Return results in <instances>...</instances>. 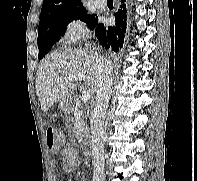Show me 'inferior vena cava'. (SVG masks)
Here are the masks:
<instances>
[{
    "label": "inferior vena cava",
    "instance_id": "inferior-vena-cava-1",
    "mask_svg": "<svg viewBox=\"0 0 197 181\" xmlns=\"http://www.w3.org/2000/svg\"><path fill=\"white\" fill-rule=\"evenodd\" d=\"M97 55V53H95ZM99 81L96 102L90 125L92 133L93 181H104V120L112 94L113 74L111 63L98 57Z\"/></svg>",
    "mask_w": 197,
    "mask_h": 181
}]
</instances>
